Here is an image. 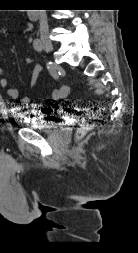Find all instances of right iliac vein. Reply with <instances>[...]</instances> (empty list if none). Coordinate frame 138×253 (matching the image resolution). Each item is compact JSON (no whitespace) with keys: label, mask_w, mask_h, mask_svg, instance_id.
Returning <instances> with one entry per match:
<instances>
[{"label":"right iliac vein","mask_w":138,"mask_h":253,"mask_svg":"<svg viewBox=\"0 0 138 253\" xmlns=\"http://www.w3.org/2000/svg\"><path fill=\"white\" fill-rule=\"evenodd\" d=\"M42 44L46 51L52 52L53 51V44L51 43L50 39L47 37L42 38Z\"/></svg>","instance_id":"right-iliac-vein-1"}]
</instances>
